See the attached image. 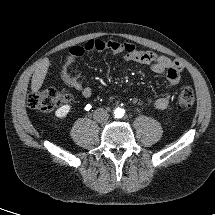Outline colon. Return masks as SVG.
I'll return each mask as SVG.
<instances>
[{
    "instance_id": "1",
    "label": "colon",
    "mask_w": 215,
    "mask_h": 215,
    "mask_svg": "<svg viewBox=\"0 0 215 215\" xmlns=\"http://www.w3.org/2000/svg\"><path fill=\"white\" fill-rule=\"evenodd\" d=\"M72 96L64 89L55 87L44 88L38 92L33 93L28 103L30 107L40 110H50L61 104L62 102L71 100ZM195 100V94L191 87L184 88L178 99V108H190Z\"/></svg>"
}]
</instances>
